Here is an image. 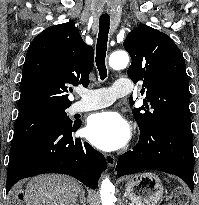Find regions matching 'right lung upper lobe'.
<instances>
[{"instance_id":"1","label":"right lung upper lobe","mask_w":199,"mask_h":205,"mask_svg":"<svg viewBox=\"0 0 199 205\" xmlns=\"http://www.w3.org/2000/svg\"><path fill=\"white\" fill-rule=\"evenodd\" d=\"M93 48L82 40L73 21L51 26L31 42L20 83L19 114L69 107L70 85L87 87Z\"/></svg>"}]
</instances>
